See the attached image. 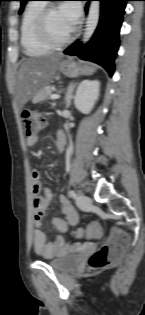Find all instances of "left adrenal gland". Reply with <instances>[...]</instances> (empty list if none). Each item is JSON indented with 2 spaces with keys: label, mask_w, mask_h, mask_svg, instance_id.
<instances>
[{
  "label": "left adrenal gland",
  "mask_w": 145,
  "mask_h": 315,
  "mask_svg": "<svg viewBox=\"0 0 145 315\" xmlns=\"http://www.w3.org/2000/svg\"><path fill=\"white\" fill-rule=\"evenodd\" d=\"M77 85V83L75 82H72L69 84L68 88H67V91H66V94H65V105H66V108H69L70 105H71V100L74 98V88L75 86Z\"/></svg>",
  "instance_id": "a2214340"
}]
</instances>
